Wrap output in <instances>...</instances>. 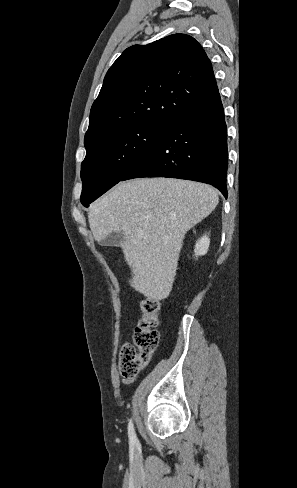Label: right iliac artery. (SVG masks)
I'll list each match as a JSON object with an SVG mask.
<instances>
[{"label": "right iliac artery", "mask_w": 297, "mask_h": 488, "mask_svg": "<svg viewBox=\"0 0 297 488\" xmlns=\"http://www.w3.org/2000/svg\"><path fill=\"white\" fill-rule=\"evenodd\" d=\"M128 436H129V440L131 443H133V444L136 443L137 438H136V434H135V430H134L132 420H130L129 424H128Z\"/></svg>", "instance_id": "right-iliac-artery-1"}]
</instances>
